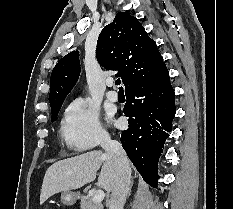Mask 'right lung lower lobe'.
<instances>
[{"instance_id":"1","label":"right lung lower lobe","mask_w":233,"mask_h":209,"mask_svg":"<svg viewBox=\"0 0 233 209\" xmlns=\"http://www.w3.org/2000/svg\"><path fill=\"white\" fill-rule=\"evenodd\" d=\"M124 115L129 127L120 133L122 147L143 179L157 186L158 158L171 132L175 95L166 65L125 91Z\"/></svg>"}]
</instances>
